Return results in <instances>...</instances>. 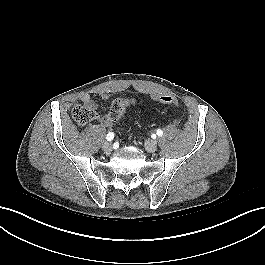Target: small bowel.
<instances>
[{
	"mask_svg": "<svg viewBox=\"0 0 265 265\" xmlns=\"http://www.w3.org/2000/svg\"><path fill=\"white\" fill-rule=\"evenodd\" d=\"M164 96L162 94H157L153 97L154 100L158 101V102H161V97ZM80 100L86 104V105H90L92 106L93 108H96V103L95 101L93 100V98L88 95V94H83L80 96ZM98 123L101 127H108L111 125V119L109 118L108 115H101L98 117Z\"/></svg>",
	"mask_w": 265,
	"mask_h": 265,
	"instance_id": "obj_1",
	"label": "small bowel"
}]
</instances>
